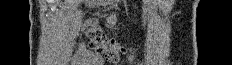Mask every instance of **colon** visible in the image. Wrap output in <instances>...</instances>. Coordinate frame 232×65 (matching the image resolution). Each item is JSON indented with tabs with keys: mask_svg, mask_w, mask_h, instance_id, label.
Segmentation results:
<instances>
[{
	"mask_svg": "<svg viewBox=\"0 0 232 65\" xmlns=\"http://www.w3.org/2000/svg\"><path fill=\"white\" fill-rule=\"evenodd\" d=\"M85 31L90 39V46L98 58L105 57L111 61H116L119 59L120 54L125 52L118 44L109 41L101 28L93 20L86 21Z\"/></svg>",
	"mask_w": 232,
	"mask_h": 65,
	"instance_id": "colon-1",
	"label": "colon"
}]
</instances>
